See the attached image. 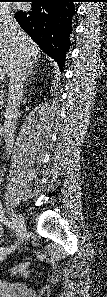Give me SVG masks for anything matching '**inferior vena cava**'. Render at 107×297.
<instances>
[{
  "label": "inferior vena cava",
  "instance_id": "1",
  "mask_svg": "<svg viewBox=\"0 0 107 297\" xmlns=\"http://www.w3.org/2000/svg\"><path fill=\"white\" fill-rule=\"evenodd\" d=\"M0 30L12 37H17L20 28L14 16L6 13L1 17ZM31 66V59L28 54L20 49L9 71V85L6 111L4 113V139L7 149L12 147L16 131V123L19 116L20 103L23 97L25 75Z\"/></svg>",
  "mask_w": 107,
  "mask_h": 297
}]
</instances>
